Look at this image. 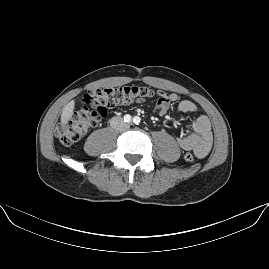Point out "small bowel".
Returning <instances> with one entry per match:
<instances>
[{
    "label": "small bowel",
    "mask_w": 269,
    "mask_h": 269,
    "mask_svg": "<svg viewBox=\"0 0 269 269\" xmlns=\"http://www.w3.org/2000/svg\"><path fill=\"white\" fill-rule=\"evenodd\" d=\"M159 99L156 105V112L164 115L168 112L170 106L177 103L179 97L176 93L159 91ZM198 107L190 100H183L177 104L178 113L197 112ZM194 133L190 135H180L177 137L179 146L185 151H192L196 157L203 158L211 150L213 145V132L211 122L205 115L198 116L191 123Z\"/></svg>",
    "instance_id": "small-bowel-1"
}]
</instances>
